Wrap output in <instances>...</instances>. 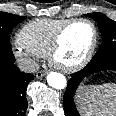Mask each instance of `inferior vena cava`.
<instances>
[{"instance_id": "obj_1", "label": "inferior vena cava", "mask_w": 116, "mask_h": 116, "mask_svg": "<svg viewBox=\"0 0 116 116\" xmlns=\"http://www.w3.org/2000/svg\"><path fill=\"white\" fill-rule=\"evenodd\" d=\"M18 66L21 71L26 73H34L39 69V65L35 61L28 59L19 60Z\"/></svg>"}]
</instances>
